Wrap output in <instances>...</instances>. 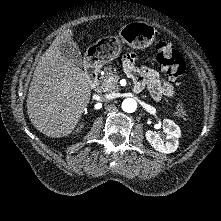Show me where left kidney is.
I'll list each match as a JSON object with an SVG mask.
<instances>
[{"label": "left kidney", "mask_w": 221, "mask_h": 221, "mask_svg": "<svg viewBox=\"0 0 221 221\" xmlns=\"http://www.w3.org/2000/svg\"><path fill=\"white\" fill-rule=\"evenodd\" d=\"M163 130L169 140L161 139L156 132L148 130L145 133L147 141L158 152L165 154L175 152L179 145L178 138L181 136L180 127L172 120L164 119Z\"/></svg>", "instance_id": "1"}]
</instances>
